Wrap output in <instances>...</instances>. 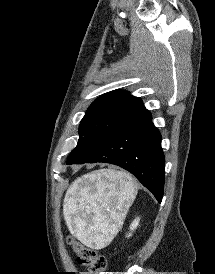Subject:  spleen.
<instances>
[{
  "label": "spleen",
  "instance_id": "obj_1",
  "mask_svg": "<svg viewBox=\"0 0 215 274\" xmlns=\"http://www.w3.org/2000/svg\"><path fill=\"white\" fill-rule=\"evenodd\" d=\"M137 195L131 175L100 170L77 178L67 190L63 213L84 244L103 246L114 234L113 223L125 216Z\"/></svg>",
  "mask_w": 215,
  "mask_h": 274
}]
</instances>
